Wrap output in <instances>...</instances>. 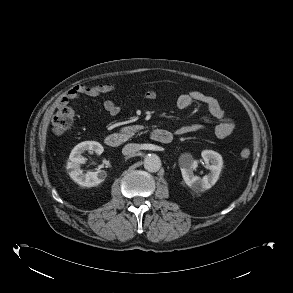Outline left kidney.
I'll return each instance as SVG.
<instances>
[{
    "mask_svg": "<svg viewBox=\"0 0 293 293\" xmlns=\"http://www.w3.org/2000/svg\"><path fill=\"white\" fill-rule=\"evenodd\" d=\"M201 156L210 170V172L202 178L194 175L193 173V170L198 166L197 160L183 162L180 165L182 177L185 183L195 192H203L215 185L219 179L223 166L222 156L215 151L204 150L202 151Z\"/></svg>",
    "mask_w": 293,
    "mask_h": 293,
    "instance_id": "1",
    "label": "left kidney"
}]
</instances>
